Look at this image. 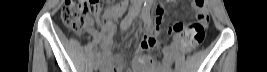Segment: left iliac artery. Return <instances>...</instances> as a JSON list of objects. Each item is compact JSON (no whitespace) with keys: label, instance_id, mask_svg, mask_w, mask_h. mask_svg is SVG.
Returning a JSON list of instances; mask_svg holds the SVG:
<instances>
[{"label":"left iliac artery","instance_id":"1","mask_svg":"<svg viewBox=\"0 0 267 72\" xmlns=\"http://www.w3.org/2000/svg\"><path fill=\"white\" fill-rule=\"evenodd\" d=\"M152 3L150 1L145 2L144 4V19H145V24L147 25L148 28H151L153 26L152 19L150 16V9H151Z\"/></svg>","mask_w":267,"mask_h":72}]
</instances>
